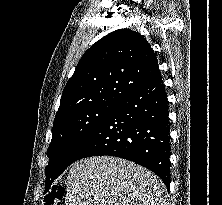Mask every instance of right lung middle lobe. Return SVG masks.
Returning a JSON list of instances; mask_svg holds the SVG:
<instances>
[{
	"mask_svg": "<svg viewBox=\"0 0 222 205\" xmlns=\"http://www.w3.org/2000/svg\"><path fill=\"white\" fill-rule=\"evenodd\" d=\"M118 103L102 102L54 122L47 150L49 163L45 168V185H51L75 161L84 144Z\"/></svg>",
	"mask_w": 222,
	"mask_h": 205,
	"instance_id": "obj_1",
	"label": "right lung middle lobe"
}]
</instances>
